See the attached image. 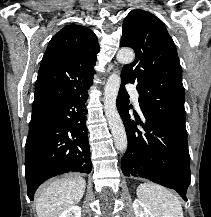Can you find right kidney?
Masks as SVG:
<instances>
[{
    "label": "right kidney",
    "mask_w": 211,
    "mask_h": 217,
    "mask_svg": "<svg viewBox=\"0 0 211 217\" xmlns=\"http://www.w3.org/2000/svg\"><path fill=\"white\" fill-rule=\"evenodd\" d=\"M59 217H81V208L79 206H71L62 212Z\"/></svg>",
    "instance_id": "obj_1"
}]
</instances>
